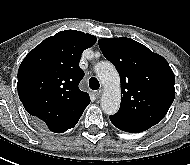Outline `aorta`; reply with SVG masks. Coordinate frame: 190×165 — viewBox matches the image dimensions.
<instances>
[{"label": "aorta", "instance_id": "aorta-1", "mask_svg": "<svg viewBox=\"0 0 190 165\" xmlns=\"http://www.w3.org/2000/svg\"><path fill=\"white\" fill-rule=\"evenodd\" d=\"M96 73L104 86L101 97V108L108 114H115L120 107V78L115 67L107 61L100 62L95 66Z\"/></svg>", "mask_w": 190, "mask_h": 165}]
</instances>
